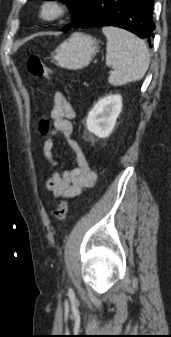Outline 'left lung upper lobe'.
Here are the masks:
<instances>
[{
	"instance_id": "left-lung-upper-lobe-1",
	"label": "left lung upper lobe",
	"mask_w": 171,
	"mask_h": 337,
	"mask_svg": "<svg viewBox=\"0 0 171 337\" xmlns=\"http://www.w3.org/2000/svg\"><path fill=\"white\" fill-rule=\"evenodd\" d=\"M60 1L65 2L74 14V17H73L74 22L69 24L64 29V31H66L75 24L76 20L78 19L82 10L84 9L87 0H60Z\"/></svg>"
}]
</instances>
